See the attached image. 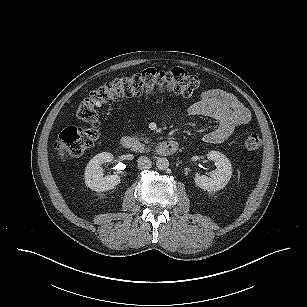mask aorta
I'll return each instance as SVG.
<instances>
[{"label":"aorta","instance_id":"aorta-1","mask_svg":"<svg viewBox=\"0 0 307 307\" xmlns=\"http://www.w3.org/2000/svg\"><path fill=\"white\" fill-rule=\"evenodd\" d=\"M156 167L159 170H166L169 167V161L165 157H159L156 160Z\"/></svg>","mask_w":307,"mask_h":307}]
</instances>
